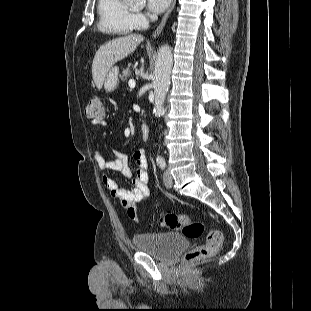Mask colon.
Wrapping results in <instances>:
<instances>
[{"instance_id":"1","label":"colon","mask_w":311,"mask_h":311,"mask_svg":"<svg viewBox=\"0 0 311 311\" xmlns=\"http://www.w3.org/2000/svg\"><path fill=\"white\" fill-rule=\"evenodd\" d=\"M85 114L87 118L100 121L105 116L104 101L99 95L90 97ZM162 224L172 230L181 231L186 237L191 239L199 238L205 232V224L198 220H193L187 215L166 214L162 219ZM223 242V236L218 230H210L206 237V242L198 246L184 256L185 262H194L214 255Z\"/></svg>"}]
</instances>
